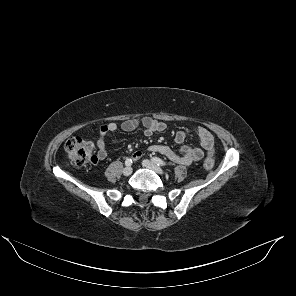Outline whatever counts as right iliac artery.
<instances>
[{"label":"right iliac artery","instance_id":"82829eb1","mask_svg":"<svg viewBox=\"0 0 296 296\" xmlns=\"http://www.w3.org/2000/svg\"><path fill=\"white\" fill-rule=\"evenodd\" d=\"M131 164H132L131 158H127L126 161H125V165L130 166Z\"/></svg>","mask_w":296,"mask_h":296}]
</instances>
